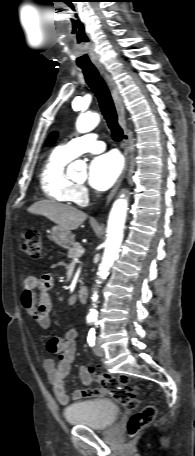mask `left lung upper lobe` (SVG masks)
I'll return each instance as SVG.
<instances>
[{
    "label": "left lung upper lobe",
    "instance_id": "5c2ea615",
    "mask_svg": "<svg viewBox=\"0 0 195 456\" xmlns=\"http://www.w3.org/2000/svg\"><path fill=\"white\" fill-rule=\"evenodd\" d=\"M56 136L57 135H56L55 132L51 133L50 136L48 137L47 141H46V145H51L55 141Z\"/></svg>",
    "mask_w": 195,
    "mask_h": 456
}]
</instances>
